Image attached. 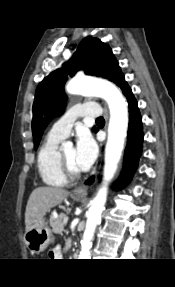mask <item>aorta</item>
Returning <instances> with one entry per match:
<instances>
[{
  "mask_svg": "<svg viewBox=\"0 0 175 287\" xmlns=\"http://www.w3.org/2000/svg\"><path fill=\"white\" fill-rule=\"evenodd\" d=\"M66 91L70 94L88 93L99 96L107 102L110 111L103 184L88 210L79 254V259H90V248L95 229L101 222V214L105 208L108 184L115 175L124 148L128 128V107L121 91L114 84L107 81L74 78L67 84Z\"/></svg>",
  "mask_w": 175,
  "mask_h": 287,
  "instance_id": "obj_1",
  "label": "aorta"
}]
</instances>
